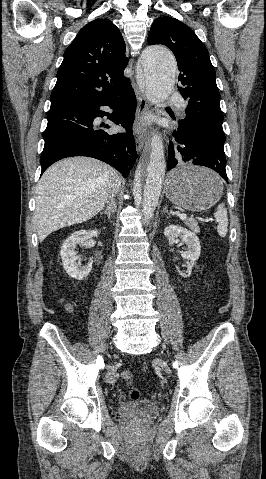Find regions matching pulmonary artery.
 I'll return each mask as SVG.
<instances>
[{"mask_svg":"<svg viewBox=\"0 0 266 479\" xmlns=\"http://www.w3.org/2000/svg\"><path fill=\"white\" fill-rule=\"evenodd\" d=\"M178 93L172 91L170 92L168 95H167V99L168 100H172V99H176L178 98ZM184 109H185V104L183 102L180 103V114L183 115L184 114Z\"/></svg>","mask_w":266,"mask_h":479,"instance_id":"1","label":"pulmonary artery"}]
</instances>
